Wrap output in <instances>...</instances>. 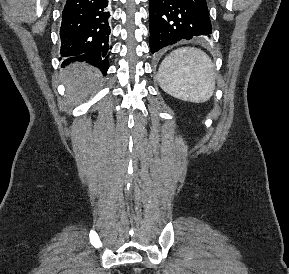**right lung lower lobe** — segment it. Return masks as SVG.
Listing matches in <instances>:
<instances>
[{"instance_id":"98d812e1","label":"right lung lower lobe","mask_w":289,"mask_h":274,"mask_svg":"<svg viewBox=\"0 0 289 274\" xmlns=\"http://www.w3.org/2000/svg\"><path fill=\"white\" fill-rule=\"evenodd\" d=\"M109 18L108 0H66L60 37L61 55L67 59L62 66L86 61L107 72Z\"/></svg>"}]
</instances>
